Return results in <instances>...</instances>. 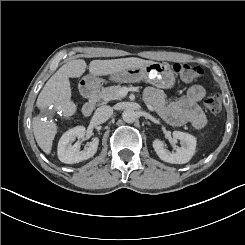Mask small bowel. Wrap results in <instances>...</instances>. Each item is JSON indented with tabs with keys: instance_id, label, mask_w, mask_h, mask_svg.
<instances>
[{
	"instance_id": "small-bowel-1",
	"label": "small bowel",
	"mask_w": 245,
	"mask_h": 245,
	"mask_svg": "<svg viewBox=\"0 0 245 245\" xmlns=\"http://www.w3.org/2000/svg\"><path fill=\"white\" fill-rule=\"evenodd\" d=\"M205 94V89L201 85H193L184 98L168 102L160 89L148 87L145 90L144 99L168 124L172 126L190 124L195 129H201L207 122L206 115L200 106Z\"/></svg>"
}]
</instances>
